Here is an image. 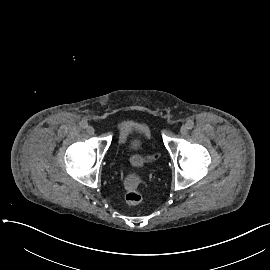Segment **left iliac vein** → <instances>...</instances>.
I'll use <instances>...</instances> for the list:
<instances>
[{"label": "left iliac vein", "instance_id": "1", "mask_svg": "<svg viewBox=\"0 0 270 270\" xmlns=\"http://www.w3.org/2000/svg\"><path fill=\"white\" fill-rule=\"evenodd\" d=\"M187 132H188L187 127H186L185 125H182V126L180 127V133H181V135H186Z\"/></svg>", "mask_w": 270, "mask_h": 270}]
</instances>
